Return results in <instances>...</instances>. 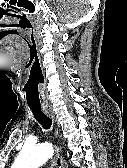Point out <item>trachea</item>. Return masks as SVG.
Returning a JSON list of instances; mask_svg holds the SVG:
<instances>
[{"mask_svg": "<svg viewBox=\"0 0 127 168\" xmlns=\"http://www.w3.org/2000/svg\"><path fill=\"white\" fill-rule=\"evenodd\" d=\"M34 118L42 125L45 130L50 129L52 125L51 119L42 111L41 106H29Z\"/></svg>", "mask_w": 127, "mask_h": 168, "instance_id": "1", "label": "trachea"}]
</instances>
